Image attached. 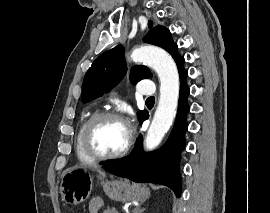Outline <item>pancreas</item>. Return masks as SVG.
<instances>
[{"instance_id":"pancreas-1","label":"pancreas","mask_w":270,"mask_h":213,"mask_svg":"<svg viewBox=\"0 0 270 213\" xmlns=\"http://www.w3.org/2000/svg\"><path fill=\"white\" fill-rule=\"evenodd\" d=\"M103 213H118L115 208L107 207L104 209Z\"/></svg>"}]
</instances>
